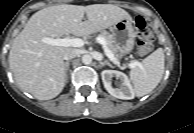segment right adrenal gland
I'll list each match as a JSON object with an SVG mask.
<instances>
[{"label":"right adrenal gland","mask_w":194,"mask_h":133,"mask_svg":"<svg viewBox=\"0 0 194 133\" xmlns=\"http://www.w3.org/2000/svg\"><path fill=\"white\" fill-rule=\"evenodd\" d=\"M69 65H70V61L65 62V72H66V77L68 76V70H69Z\"/></svg>","instance_id":"1"}]
</instances>
